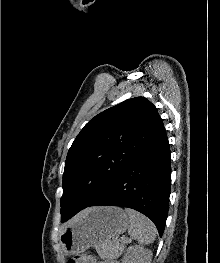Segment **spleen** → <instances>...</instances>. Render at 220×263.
Here are the masks:
<instances>
[{"label": "spleen", "mask_w": 220, "mask_h": 263, "mask_svg": "<svg viewBox=\"0 0 220 263\" xmlns=\"http://www.w3.org/2000/svg\"><path fill=\"white\" fill-rule=\"evenodd\" d=\"M130 219L128 234L141 245H148L155 240L156 227L144 215L130 208L125 209Z\"/></svg>", "instance_id": "spleen-1"}]
</instances>
